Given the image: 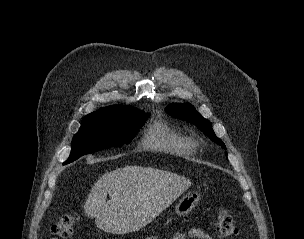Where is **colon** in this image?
Wrapping results in <instances>:
<instances>
[{"instance_id": "5ec220e1", "label": "colon", "mask_w": 304, "mask_h": 239, "mask_svg": "<svg viewBox=\"0 0 304 239\" xmlns=\"http://www.w3.org/2000/svg\"><path fill=\"white\" fill-rule=\"evenodd\" d=\"M77 220V216L74 214H68L60 217L51 228L52 234L56 239H68L71 237L74 231V226ZM215 231L221 238L236 237L239 233V228L233 221L232 217L226 210H220L217 214L215 223Z\"/></svg>"}]
</instances>
